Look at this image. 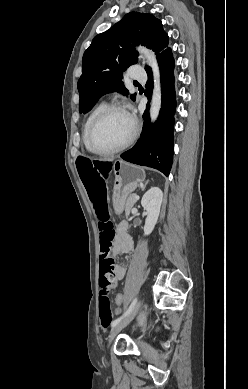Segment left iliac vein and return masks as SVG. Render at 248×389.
I'll use <instances>...</instances> for the list:
<instances>
[{
  "mask_svg": "<svg viewBox=\"0 0 248 389\" xmlns=\"http://www.w3.org/2000/svg\"><path fill=\"white\" fill-rule=\"evenodd\" d=\"M140 306H141V301H138L136 303V305L134 306L133 310L130 312V314L124 319L122 320L119 324H117L115 327L112 328L111 332H110V335H109V341H108V344L110 345L114 338L116 337V335L128 324L130 323L134 317L137 315V313L139 312V309H140Z\"/></svg>",
  "mask_w": 248,
  "mask_h": 389,
  "instance_id": "obj_1",
  "label": "left iliac vein"
}]
</instances>
